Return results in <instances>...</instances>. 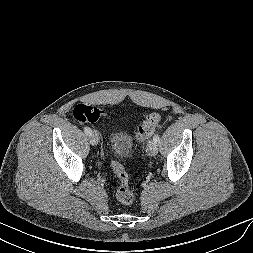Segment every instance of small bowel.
I'll return each mask as SVG.
<instances>
[{"label":"small bowel","instance_id":"c3829d8e","mask_svg":"<svg viewBox=\"0 0 253 253\" xmlns=\"http://www.w3.org/2000/svg\"><path fill=\"white\" fill-rule=\"evenodd\" d=\"M105 115H106V112L104 110L96 109V119L93 122L97 121L100 117L105 116Z\"/></svg>","mask_w":253,"mask_h":253}]
</instances>
